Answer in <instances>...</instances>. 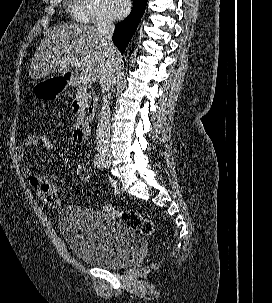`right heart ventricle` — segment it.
<instances>
[{
  "instance_id": "e07e8e85",
  "label": "right heart ventricle",
  "mask_w": 272,
  "mask_h": 303,
  "mask_svg": "<svg viewBox=\"0 0 272 303\" xmlns=\"http://www.w3.org/2000/svg\"><path fill=\"white\" fill-rule=\"evenodd\" d=\"M67 11L71 18L78 23H87V13L82 0H68Z\"/></svg>"
}]
</instances>
